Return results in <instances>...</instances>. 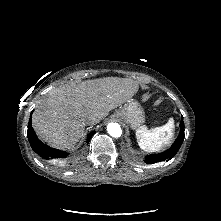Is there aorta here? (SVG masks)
Masks as SVG:
<instances>
[{"mask_svg":"<svg viewBox=\"0 0 221 221\" xmlns=\"http://www.w3.org/2000/svg\"><path fill=\"white\" fill-rule=\"evenodd\" d=\"M107 131L112 137L118 138L122 135V129L118 123H109Z\"/></svg>","mask_w":221,"mask_h":221,"instance_id":"aorta-1","label":"aorta"}]
</instances>
